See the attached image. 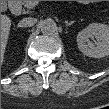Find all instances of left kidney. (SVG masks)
<instances>
[{"mask_svg": "<svg viewBox=\"0 0 109 109\" xmlns=\"http://www.w3.org/2000/svg\"><path fill=\"white\" fill-rule=\"evenodd\" d=\"M95 39V44L90 41ZM79 50L93 58H102L109 54V28L100 23L89 24L77 35Z\"/></svg>", "mask_w": 109, "mask_h": 109, "instance_id": "left-kidney-1", "label": "left kidney"}]
</instances>
